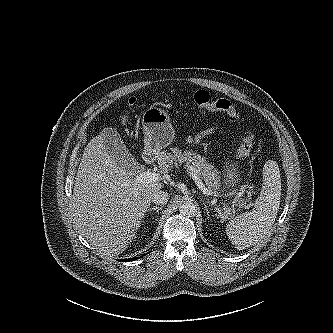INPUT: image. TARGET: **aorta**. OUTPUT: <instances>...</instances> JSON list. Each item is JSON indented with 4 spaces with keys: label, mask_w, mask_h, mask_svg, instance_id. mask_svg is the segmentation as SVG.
<instances>
[{
    "label": "aorta",
    "mask_w": 333,
    "mask_h": 333,
    "mask_svg": "<svg viewBox=\"0 0 333 333\" xmlns=\"http://www.w3.org/2000/svg\"><path fill=\"white\" fill-rule=\"evenodd\" d=\"M179 211L183 216L193 217L197 212V207L194 203L186 201L180 205Z\"/></svg>",
    "instance_id": "obj_1"
}]
</instances>
